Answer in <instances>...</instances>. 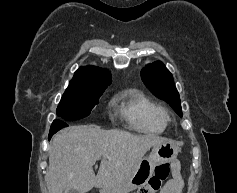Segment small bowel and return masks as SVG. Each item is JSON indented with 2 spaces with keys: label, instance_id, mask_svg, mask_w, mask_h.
<instances>
[{
  "label": "small bowel",
  "instance_id": "1",
  "mask_svg": "<svg viewBox=\"0 0 237 193\" xmlns=\"http://www.w3.org/2000/svg\"><path fill=\"white\" fill-rule=\"evenodd\" d=\"M184 181L181 177L178 166H173V177L164 185L160 193H182Z\"/></svg>",
  "mask_w": 237,
  "mask_h": 193
}]
</instances>
